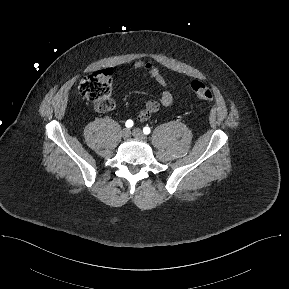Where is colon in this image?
Returning a JSON list of instances; mask_svg holds the SVG:
<instances>
[{"mask_svg": "<svg viewBox=\"0 0 289 289\" xmlns=\"http://www.w3.org/2000/svg\"><path fill=\"white\" fill-rule=\"evenodd\" d=\"M111 78L109 70L98 71L84 77L79 85L81 95L91 102L98 112H107L114 108L111 99ZM191 90L196 96L205 101H212L214 98L212 90L204 83L194 80L190 84Z\"/></svg>", "mask_w": 289, "mask_h": 289, "instance_id": "colon-1", "label": "colon"}]
</instances>
